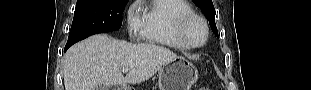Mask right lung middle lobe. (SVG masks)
Here are the masks:
<instances>
[{
  "mask_svg": "<svg viewBox=\"0 0 311 90\" xmlns=\"http://www.w3.org/2000/svg\"><path fill=\"white\" fill-rule=\"evenodd\" d=\"M128 0H77L74 19L66 45L93 34L120 29Z\"/></svg>",
  "mask_w": 311,
  "mask_h": 90,
  "instance_id": "dd1d6c3e",
  "label": "right lung middle lobe"
}]
</instances>
